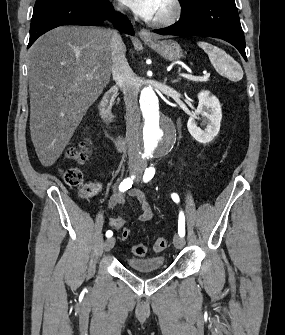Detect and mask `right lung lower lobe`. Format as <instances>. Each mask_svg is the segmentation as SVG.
<instances>
[{
  "instance_id": "1",
  "label": "right lung lower lobe",
  "mask_w": 285,
  "mask_h": 335,
  "mask_svg": "<svg viewBox=\"0 0 285 335\" xmlns=\"http://www.w3.org/2000/svg\"><path fill=\"white\" fill-rule=\"evenodd\" d=\"M105 19H110L122 32L134 35L128 18L115 13L109 0L84 2L78 0H50L35 5L30 25L28 48L45 32L58 26L80 24L98 26Z\"/></svg>"
}]
</instances>
